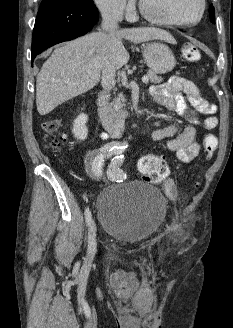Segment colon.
Instances as JSON below:
<instances>
[{"mask_svg": "<svg viewBox=\"0 0 233 328\" xmlns=\"http://www.w3.org/2000/svg\"><path fill=\"white\" fill-rule=\"evenodd\" d=\"M183 56L188 61H197L200 58V51L191 43H186L183 47ZM60 122L49 121L45 124V130L50 136L49 148L55 152H60L66 145V137L58 134ZM217 146V139L214 135L208 134L204 139V148L207 156L210 157ZM139 170L143 179L147 182H161L169 173L166 162L156 155H145L139 161Z\"/></svg>", "mask_w": 233, "mask_h": 328, "instance_id": "obj_1", "label": "colon"}]
</instances>
